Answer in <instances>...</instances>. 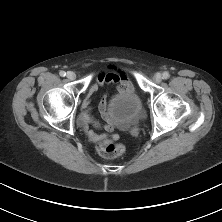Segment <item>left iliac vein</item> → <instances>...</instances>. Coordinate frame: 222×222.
Listing matches in <instances>:
<instances>
[{
  "label": "left iliac vein",
  "instance_id": "obj_1",
  "mask_svg": "<svg viewBox=\"0 0 222 222\" xmlns=\"http://www.w3.org/2000/svg\"><path fill=\"white\" fill-rule=\"evenodd\" d=\"M154 80H155L157 83L161 82V80H162V75H161L160 73H156V74L154 75Z\"/></svg>",
  "mask_w": 222,
  "mask_h": 222
}]
</instances>
